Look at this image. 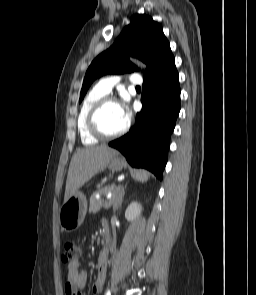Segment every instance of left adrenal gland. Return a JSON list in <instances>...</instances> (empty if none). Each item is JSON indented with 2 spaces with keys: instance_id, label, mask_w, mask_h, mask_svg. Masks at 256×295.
Returning <instances> with one entry per match:
<instances>
[{
  "instance_id": "1",
  "label": "left adrenal gland",
  "mask_w": 256,
  "mask_h": 295,
  "mask_svg": "<svg viewBox=\"0 0 256 295\" xmlns=\"http://www.w3.org/2000/svg\"><path fill=\"white\" fill-rule=\"evenodd\" d=\"M124 194H125V191H124V188L122 187L119 189L118 194L114 200V206H113L114 212H116L118 208L121 207Z\"/></svg>"
}]
</instances>
